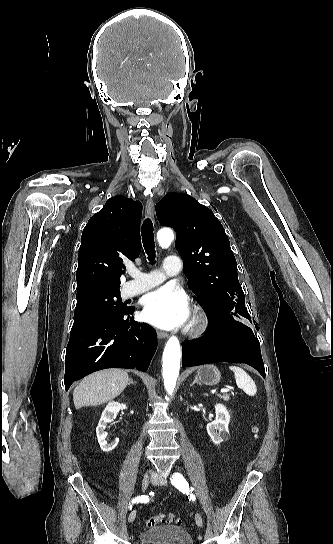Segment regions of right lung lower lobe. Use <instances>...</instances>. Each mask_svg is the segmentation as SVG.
<instances>
[{
    "mask_svg": "<svg viewBox=\"0 0 333 544\" xmlns=\"http://www.w3.org/2000/svg\"><path fill=\"white\" fill-rule=\"evenodd\" d=\"M134 308L100 321L74 335L66 348L64 383L71 384L106 368H136L145 372L157 348L154 329L132 320Z\"/></svg>",
    "mask_w": 333,
    "mask_h": 544,
    "instance_id": "1",
    "label": "right lung lower lobe"
}]
</instances>
